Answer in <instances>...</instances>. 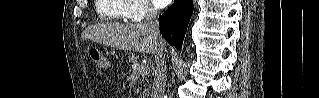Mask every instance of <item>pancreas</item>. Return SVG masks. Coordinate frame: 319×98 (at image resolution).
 I'll return each mask as SVG.
<instances>
[{"mask_svg":"<svg viewBox=\"0 0 319 98\" xmlns=\"http://www.w3.org/2000/svg\"><path fill=\"white\" fill-rule=\"evenodd\" d=\"M137 55L136 54H133V53H129V55H128V57L126 58L129 62H132V63H136V61H137ZM138 65V67H140V68H144L146 71L145 72H143L142 74H137V73H135L133 70H132V74H134V75H146L147 73H148V68H146V66H141L140 64H137Z\"/></svg>","mask_w":319,"mask_h":98,"instance_id":"1","label":"pancreas"}]
</instances>
